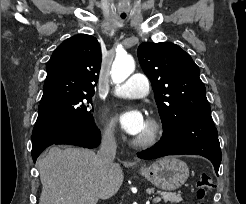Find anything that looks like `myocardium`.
Wrapping results in <instances>:
<instances>
[{
	"label": "myocardium",
	"mask_w": 246,
	"mask_h": 204,
	"mask_svg": "<svg viewBox=\"0 0 246 204\" xmlns=\"http://www.w3.org/2000/svg\"><path fill=\"white\" fill-rule=\"evenodd\" d=\"M146 123L149 128L147 134L133 139V144L136 147H140V148L151 147L155 145L161 137L162 125L157 119L149 118Z\"/></svg>",
	"instance_id": "obj_1"
}]
</instances>
